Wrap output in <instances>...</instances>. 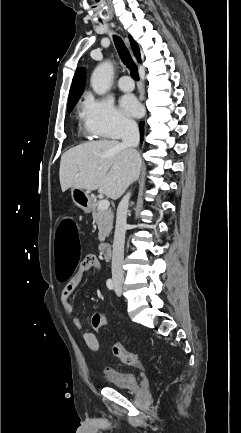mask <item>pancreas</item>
<instances>
[{
	"mask_svg": "<svg viewBox=\"0 0 241 433\" xmlns=\"http://www.w3.org/2000/svg\"><path fill=\"white\" fill-rule=\"evenodd\" d=\"M99 202H93L91 206L94 222L98 226V239L103 242L113 228L114 215L111 209L101 211L98 209Z\"/></svg>",
	"mask_w": 241,
	"mask_h": 433,
	"instance_id": "1",
	"label": "pancreas"
}]
</instances>
